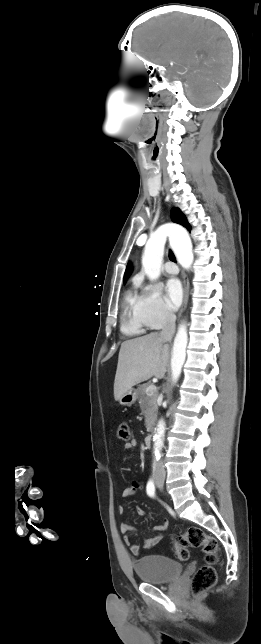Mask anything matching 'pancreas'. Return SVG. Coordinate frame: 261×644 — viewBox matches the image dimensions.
<instances>
[{
	"mask_svg": "<svg viewBox=\"0 0 261 644\" xmlns=\"http://www.w3.org/2000/svg\"><path fill=\"white\" fill-rule=\"evenodd\" d=\"M149 384H143L138 387L137 395L139 399L140 409L145 416V423L147 431H150L154 425V422L157 417V391H154L152 394L148 395L146 389Z\"/></svg>",
	"mask_w": 261,
	"mask_h": 644,
	"instance_id": "1",
	"label": "pancreas"
}]
</instances>
